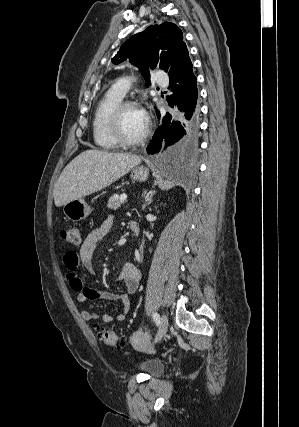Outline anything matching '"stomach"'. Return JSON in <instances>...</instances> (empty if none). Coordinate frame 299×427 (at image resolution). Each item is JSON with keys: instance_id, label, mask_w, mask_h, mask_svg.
<instances>
[{"instance_id": "stomach-1", "label": "stomach", "mask_w": 299, "mask_h": 427, "mask_svg": "<svg viewBox=\"0 0 299 427\" xmlns=\"http://www.w3.org/2000/svg\"><path fill=\"white\" fill-rule=\"evenodd\" d=\"M149 171L144 166L135 167L131 172L132 180L144 182L148 177ZM91 208L83 198L70 201L63 205L65 216L73 221L78 222L85 219L91 213Z\"/></svg>"}]
</instances>
